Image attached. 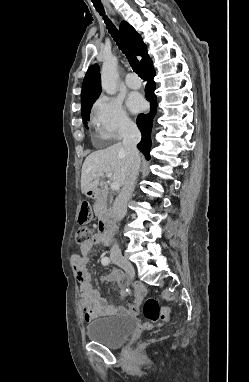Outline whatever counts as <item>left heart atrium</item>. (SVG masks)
<instances>
[{"label":"left heart atrium","instance_id":"39dd6f15","mask_svg":"<svg viewBox=\"0 0 249 382\" xmlns=\"http://www.w3.org/2000/svg\"><path fill=\"white\" fill-rule=\"evenodd\" d=\"M128 107L131 111L133 112H137V111H140L143 106H144V101L143 99L138 96V95H132L129 99H128Z\"/></svg>","mask_w":249,"mask_h":382}]
</instances>
